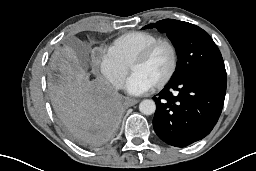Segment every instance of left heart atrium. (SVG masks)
I'll return each instance as SVG.
<instances>
[{
    "label": "left heart atrium",
    "mask_w": 256,
    "mask_h": 171,
    "mask_svg": "<svg viewBox=\"0 0 256 171\" xmlns=\"http://www.w3.org/2000/svg\"><path fill=\"white\" fill-rule=\"evenodd\" d=\"M152 87V83L138 73H133L125 83V90L131 95L144 94Z\"/></svg>",
    "instance_id": "1"
}]
</instances>
